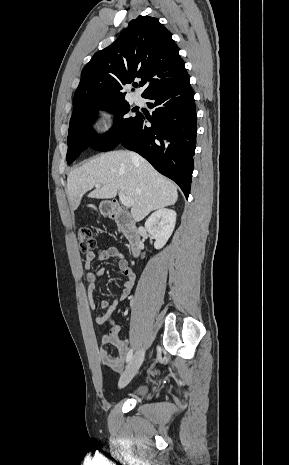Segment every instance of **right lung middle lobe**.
I'll return each instance as SVG.
<instances>
[{
  "instance_id": "right-lung-middle-lobe-1",
  "label": "right lung middle lobe",
  "mask_w": 289,
  "mask_h": 465,
  "mask_svg": "<svg viewBox=\"0 0 289 465\" xmlns=\"http://www.w3.org/2000/svg\"><path fill=\"white\" fill-rule=\"evenodd\" d=\"M100 109L113 112L116 120L107 136L98 139L92 129V117ZM129 111L130 105L125 99L90 101L79 105L75 109V121L69 126L67 162L72 163L87 145L99 151L114 149L140 117V113L133 117L128 116Z\"/></svg>"
}]
</instances>
